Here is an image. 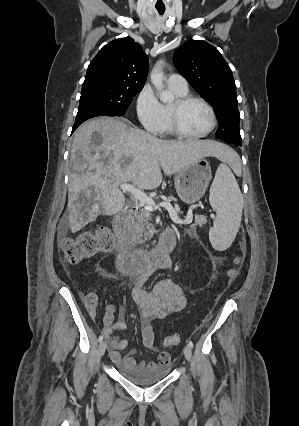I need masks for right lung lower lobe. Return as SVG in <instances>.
<instances>
[{
  "instance_id": "right-lung-lower-lobe-1",
  "label": "right lung lower lobe",
  "mask_w": 299,
  "mask_h": 426,
  "mask_svg": "<svg viewBox=\"0 0 299 426\" xmlns=\"http://www.w3.org/2000/svg\"><path fill=\"white\" fill-rule=\"evenodd\" d=\"M97 116H121V115L113 113L107 109L98 108V107H90V108L83 109L81 111H78L77 113L76 120L72 129V133L81 123H83L87 119L97 117Z\"/></svg>"
}]
</instances>
